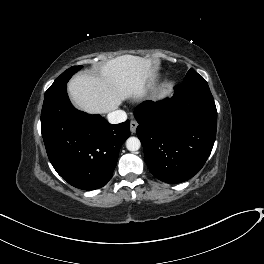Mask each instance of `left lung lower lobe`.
<instances>
[{
  "instance_id": "obj_1",
  "label": "left lung lower lobe",
  "mask_w": 264,
  "mask_h": 264,
  "mask_svg": "<svg viewBox=\"0 0 264 264\" xmlns=\"http://www.w3.org/2000/svg\"><path fill=\"white\" fill-rule=\"evenodd\" d=\"M174 89L172 98L145 102L134 111L146 164L156 178L171 184L200 171L217 128V110L206 81L183 82Z\"/></svg>"
}]
</instances>
